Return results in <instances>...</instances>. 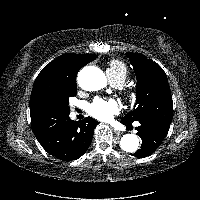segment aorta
I'll list each match as a JSON object with an SVG mask.
<instances>
[{
  "label": "aorta",
  "instance_id": "obj_1",
  "mask_svg": "<svg viewBox=\"0 0 200 200\" xmlns=\"http://www.w3.org/2000/svg\"><path fill=\"white\" fill-rule=\"evenodd\" d=\"M78 83L87 91H96L106 85V76L97 67L89 66L78 74ZM120 147L125 152L134 153L139 148V138L135 134H125L120 141Z\"/></svg>",
  "mask_w": 200,
  "mask_h": 200
}]
</instances>
